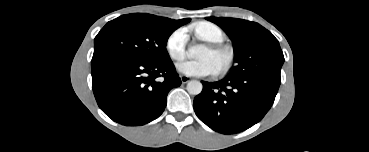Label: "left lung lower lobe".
I'll return each instance as SVG.
<instances>
[{
  "instance_id": "1",
  "label": "left lung lower lobe",
  "mask_w": 369,
  "mask_h": 152,
  "mask_svg": "<svg viewBox=\"0 0 369 152\" xmlns=\"http://www.w3.org/2000/svg\"><path fill=\"white\" fill-rule=\"evenodd\" d=\"M280 78L262 75L233 76L208 83L193 101L197 117L211 129L234 134L258 123L271 108Z\"/></svg>"
}]
</instances>
